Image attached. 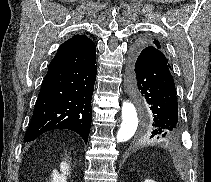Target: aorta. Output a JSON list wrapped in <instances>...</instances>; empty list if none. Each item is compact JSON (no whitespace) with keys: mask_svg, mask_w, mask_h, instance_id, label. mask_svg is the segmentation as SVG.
I'll return each instance as SVG.
<instances>
[{"mask_svg":"<svg viewBox=\"0 0 211 182\" xmlns=\"http://www.w3.org/2000/svg\"><path fill=\"white\" fill-rule=\"evenodd\" d=\"M139 119L135 106L129 101L122 104V123L117 132L116 138L119 142L128 141L135 134Z\"/></svg>","mask_w":211,"mask_h":182,"instance_id":"1","label":"aorta"}]
</instances>
